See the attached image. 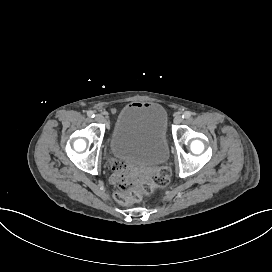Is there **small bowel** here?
<instances>
[{"mask_svg": "<svg viewBox=\"0 0 272 272\" xmlns=\"http://www.w3.org/2000/svg\"><path fill=\"white\" fill-rule=\"evenodd\" d=\"M114 112H115V110H112V113H114ZM113 161H118V160H113ZM113 161H112V162H113Z\"/></svg>", "mask_w": 272, "mask_h": 272, "instance_id": "small-bowel-1", "label": "small bowel"}]
</instances>
